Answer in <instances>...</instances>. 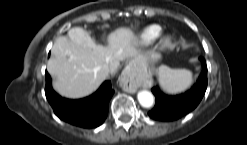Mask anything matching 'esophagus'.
<instances>
[{
  "label": "esophagus",
  "instance_id": "esophagus-1",
  "mask_svg": "<svg viewBox=\"0 0 247 145\" xmlns=\"http://www.w3.org/2000/svg\"><path fill=\"white\" fill-rule=\"evenodd\" d=\"M142 78L132 69H125L120 78V86L128 93H135Z\"/></svg>",
  "mask_w": 247,
  "mask_h": 145
}]
</instances>
